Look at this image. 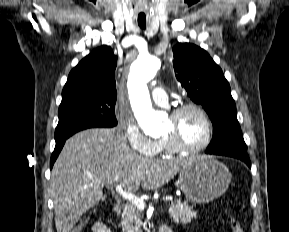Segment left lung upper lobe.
Instances as JSON below:
<instances>
[{
	"label": "left lung upper lobe",
	"instance_id": "obj_1",
	"mask_svg": "<svg viewBox=\"0 0 289 232\" xmlns=\"http://www.w3.org/2000/svg\"><path fill=\"white\" fill-rule=\"evenodd\" d=\"M173 53L177 80L190 99L205 109L213 124V137L206 152L246 150L230 85L221 68L194 44L178 43Z\"/></svg>",
	"mask_w": 289,
	"mask_h": 232
}]
</instances>
